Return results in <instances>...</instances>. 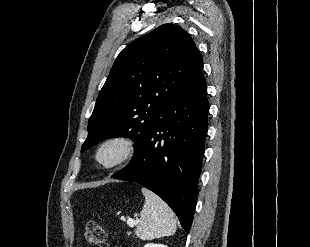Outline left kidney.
<instances>
[{
  "label": "left kidney",
  "instance_id": "obj_1",
  "mask_svg": "<svg viewBox=\"0 0 310 247\" xmlns=\"http://www.w3.org/2000/svg\"><path fill=\"white\" fill-rule=\"evenodd\" d=\"M144 247H168V246L163 245V244L148 243Z\"/></svg>",
  "mask_w": 310,
  "mask_h": 247
}]
</instances>
